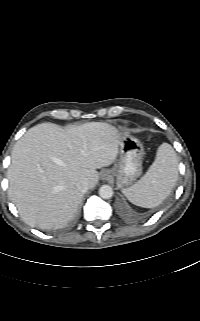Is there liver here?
I'll list each match as a JSON object with an SVG mask.
<instances>
[{
	"instance_id": "1",
	"label": "liver",
	"mask_w": 200,
	"mask_h": 321,
	"mask_svg": "<svg viewBox=\"0 0 200 321\" xmlns=\"http://www.w3.org/2000/svg\"><path fill=\"white\" fill-rule=\"evenodd\" d=\"M121 140L113 126L102 122L30 128L14 145L7 172L8 194L23 221L40 229L65 226L84 195L76 184L86 179L93 188L96 169L115 162Z\"/></svg>"
}]
</instances>
